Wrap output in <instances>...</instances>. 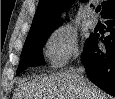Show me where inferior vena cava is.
Returning <instances> with one entry per match:
<instances>
[{
	"label": "inferior vena cava",
	"instance_id": "inferior-vena-cava-1",
	"mask_svg": "<svg viewBox=\"0 0 115 99\" xmlns=\"http://www.w3.org/2000/svg\"><path fill=\"white\" fill-rule=\"evenodd\" d=\"M85 72V68L83 66H80L79 68H77V78H78V81L80 83V85L82 86V91L83 93H85V96H88L86 95V89L84 88V78L82 76V74ZM84 98H90V97H84Z\"/></svg>",
	"mask_w": 115,
	"mask_h": 99
}]
</instances>
